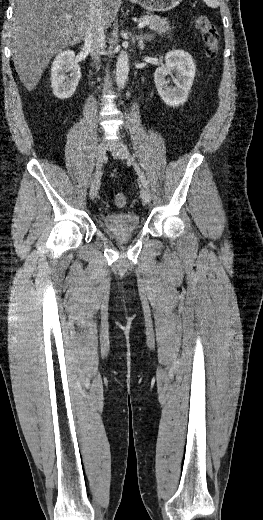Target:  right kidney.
<instances>
[{
	"label": "right kidney",
	"instance_id": "1",
	"mask_svg": "<svg viewBox=\"0 0 263 520\" xmlns=\"http://www.w3.org/2000/svg\"><path fill=\"white\" fill-rule=\"evenodd\" d=\"M81 78L80 66L75 62V53L71 50L60 52L51 67V87L59 99L70 98Z\"/></svg>",
	"mask_w": 263,
	"mask_h": 520
}]
</instances>
